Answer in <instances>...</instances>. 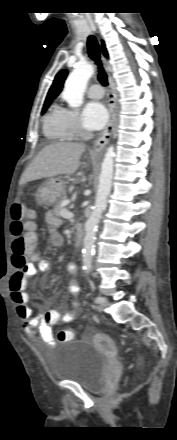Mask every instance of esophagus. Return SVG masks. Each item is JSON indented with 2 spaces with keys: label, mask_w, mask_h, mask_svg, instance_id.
I'll return each instance as SVG.
<instances>
[{
  "label": "esophagus",
  "mask_w": 177,
  "mask_h": 440,
  "mask_svg": "<svg viewBox=\"0 0 177 440\" xmlns=\"http://www.w3.org/2000/svg\"><path fill=\"white\" fill-rule=\"evenodd\" d=\"M103 63L106 69L109 68V64L107 62V60L103 57ZM109 113H110V118L108 121V124L106 126V128L101 132L100 136L94 141L93 144V149L92 151L94 153H100L105 146L107 145V143L109 142L114 126H115V121H116V100H115V95L114 92L112 90V88H110L109 90Z\"/></svg>",
  "instance_id": "34e87169"
}]
</instances>
